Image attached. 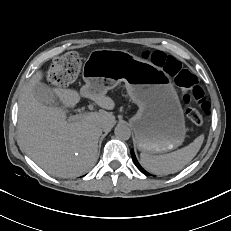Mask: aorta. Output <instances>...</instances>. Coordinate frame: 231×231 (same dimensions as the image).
Here are the masks:
<instances>
[{"instance_id":"1","label":"aorta","mask_w":231,"mask_h":231,"mask_svg":"<svg viewBox=\"0 0 231 231\" xmlns=\"http://www.w3.org/2000/svg\"><path fill=\"white\" fill-rule=\"evenodd\" d=\"M115 136L120 140H128L131 136L130 128L126 125H118L114 130Z\"/></svg>"}]
</instances>
